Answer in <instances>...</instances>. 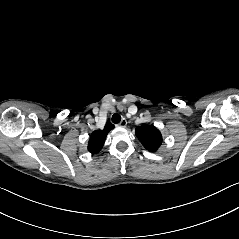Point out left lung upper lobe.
Returning a JSON list of instances; mask_svg holds the SVG:
<instances>
[{
    "label": "left lung upper lobe",
    "mask_w": 239,
    "mask_h": 239,
    "mask_svg": "<svg viewBox=\"0 0 239 239\" xmlns=\"http://www.w3.org/2000/svg\"><path fill=\"white\" fill-rule=\"evenodd\" d=\"M135 133L145 149L150 152H155L162 144V135L153 125L143 124L138 126Z\"/></svg>",
    "instance_id": "left-lung-upper-lobe-1"
}]
</instances>
